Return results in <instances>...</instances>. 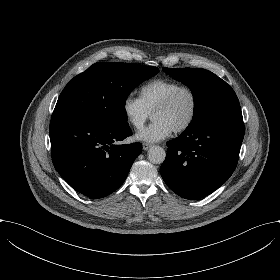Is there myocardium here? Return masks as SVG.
Wrapping results in <instances>:
<instances>
[{
    "mask_svg": "<svg viewBox=\"0 0 280 280\" xmlns=\"http://www.w3.org/2000/svg\"><path fill=\"white\" fill-rule=\"evenodd\" d=\"M185 91L189 92L192 95L193 109H192V113H191L189 119L182 125L175 128V132H178V133L184 132V131L188 130L189 128H191L197 119V116L199 113L200 99H199V94L194 87L189 86V85H181L175 91H173L167 98H165L162 102H160L153 111V114H154L155 112L169 108L175 102L177 97Z\"/></svg>",
    "mask_w": 280,
    "mask_h": 280,
    "instance_id": "1",
    "label": "myocardium"
}]
</instances>
